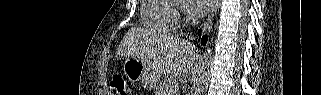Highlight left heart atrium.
I'll return each mask as SVG.
<instances>
[{
    "label": "left heart atrium",
    "instance_id": "obj_1",
    "mask_svg": "<svg viewBox=\"0 0 321 95\" xmlns=\"http://www.w3.org/2000/svg\"><path fill=\"white\" fill-rule=\"evenodd\" d=\"M188 2L190 3V6L188 8L189 11L193 15L198 16L204 13L205 11H208L213 1L212 0H189Z\"/></svg>",
    "mask_w": 321,
    "mask_h": 95
}]
</instances>
